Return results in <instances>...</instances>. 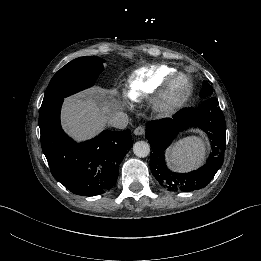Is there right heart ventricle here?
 Wrapping results in <instances>:
<instances>
[{
    "mask_svg": "<svg viewBox=\"0 0 261 261\" xmlns=\"http://www.w3.org/2000/svg\"><path fill=\"white\" fill-rule=\"evenodd\" d=\"M159 71V68L136 71L129 80V96L134 100L144 99L177 73L175 69L169 68L165 76L161 77Z\"/></svg>",
    "mask_w": 261,
    "mask_h": 261,
    "instance_id": "1",
    "label": "right heart ventricle"
}]
</instances>
